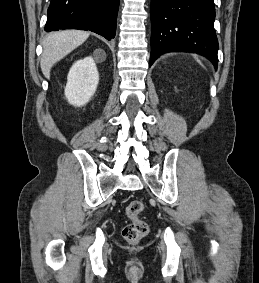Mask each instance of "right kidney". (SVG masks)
Wrapping results in <instances>:
<instances>
[{
  "mask_svg": "<svg viewBox=\"0 0 259 283\" xmlns=\"http://www.w3.org/2000/svg\"><path fill=\"white\" fill-rule=\"evenodd\" d=\"M99 73L93 57L76 61L67 76L65 97L69 104L80 107L87 104L95 94Z\"/></svg>",
  "mask_w": 259,
  "mask_h": 283,
  "instance_id": "1",
  "label": "right kidney"
}]
</instances>
